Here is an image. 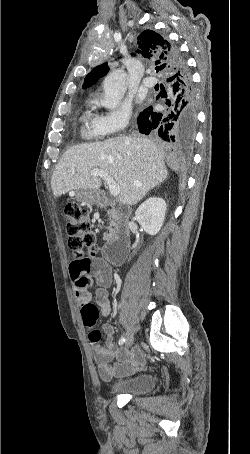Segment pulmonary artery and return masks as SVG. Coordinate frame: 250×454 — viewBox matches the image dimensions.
Wrapping results in <instances>:
<instances>
[{
	"label": "pulmonary artery",
	"mask_w": 250,
	"mask_h": 454,
	"mask_svg": "<svg viewBox=\"0 0 250 454\" xmlns=\"http://www.w3.org/2000/svg\"><path fill=\"white\" fill-rule=\"evenodd\" d=\"M156 83H157V79H155L154 77H146L143 80V84L147 87L154 86Z\"/></svg>",
	"instance_id": "obj_1"
}]
</instances>
